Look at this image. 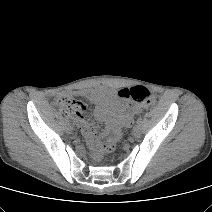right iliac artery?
<instances>
[{
    "label": "right iliac artery",
    "mask_w": 212,
    "mask_h": 212,
    "mask_svg": "<svg viewBox=\"0 0 212 212\" xmlns=\"http://www.w3.org/2000/svg\"><path fill=\"white\" fill-rule=\"evenodd\" d=\"M65 122H66L67 124H69V120H68V119H65Z\"/></svg>",
    "instance_id": "right-iliac-artery-1"
}]
</instances>
